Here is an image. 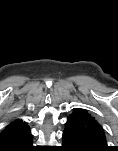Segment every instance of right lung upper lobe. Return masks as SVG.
<instances>
[{
    "mask_svg": "<svg viewBox=\"0 0 118 151\" xmlns=\"http://www.w3.org/2000/svg\"><path fill=\"white\" fill-rule=\"evenodd\" d=\"M32 141L26 122L17 119L8 124L0 134V151H15Z\"/></svg>",
    "mask_w": 118,
    "mask_h": 151,
    "instance_id": "cb5924a9",
    "label": "right lung upper lobe"
}]
</instances>
